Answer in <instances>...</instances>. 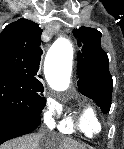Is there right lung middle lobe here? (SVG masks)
Wrapping results in <instances>:
<instances>
[{"label":"right lung middle lobe","mask_w":124,"mask_h":149,"mask_svg":"<svg viewBox=\"0 0 124 149\" xmlns=\"http://www.w3.org/2000/svg\"><path fill=\"white\" fill-rule=\"evenodd\" d=\"M43 90L29 85L15 74L0 71V120L39 116L46 104Z\"/></svg>","instance_id":"dd1d6c3e"}]
</instances>
